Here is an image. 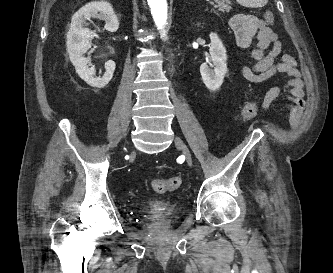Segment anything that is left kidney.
<instances>
[{"mask_svg":"<svg viewBox=\"0 0 333 273\" xmlns=\"http://www.w3.org/2000/svg\"><path fill=\"white\" fill-rule=\"evenodd\" d=\"M210 60L200 66L202 80L211 91L218 90L227 73L226 49L216 33H210Z\"/></svg>","mask_w":333,"mask_h":273,"instance_id":"5707ae66","label":"left kidney"}]
</instances>
